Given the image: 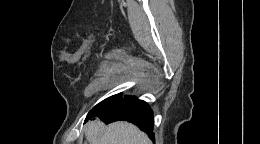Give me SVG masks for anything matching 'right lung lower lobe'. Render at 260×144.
<instances>
[{
  "mask_svg": "<svg viewBox=\"0 0 260 144\" xmlns=\"http://www.w3.org/2000/svg\"><path fill=\"white\" fill-rule=\"evenodd\" d=\"M93 117L100 118L106 124L114 121L131 122L147 133L150 139L154 140L153 112L145 101L139 100L135 96L120 98L119 94L115 95L88 115L86 120Z\"/></svg>",
  "mask_w": 260,
  "mask_h": 144,
  "instance_id": "right-lung-lower-lobe-1",
  "label": "right lung lower lobe"
}]
</instances>
